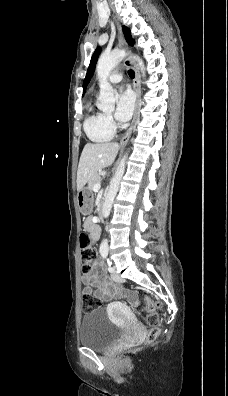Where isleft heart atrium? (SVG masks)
I'll return each instance as SVG.
<instances>
[{
  "label": "left heart atrium",
  "instance_id": "obj_1",
  "mask_svg": "<svg viewBox=\"0 0 228 396\" xmlns=\"http://www.w3.org/2000/svg\"><path fill=\"white\" fill-rule=\"evenodd\" d=\"M135 98L133 93L128 89H122L119 92L115 117L120 122L128 121L134 110Z\"/></svg>",
  "mask_w": 228,
  "mask_h": 396
}]
</instances>
